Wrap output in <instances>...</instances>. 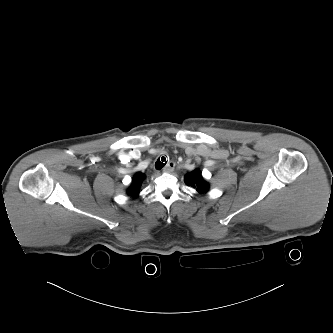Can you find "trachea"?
Wrapping results in <instances>:
<instances>
[{"mask_svg": "<svg viewBox=\"0 0 333 333\" xmlns=\"http://www.w3.org/2000/svg\"><path fill=\"white\" fill-rule=\"evenodd\" d=\"M164 162H165V163H164ZM166 163H167V162H166V157L162 156L161 159L159 158V159L157 160V162L155 163V168H156L157 170H160V169H162V168L165 166Z\"/></svg>", "mask_w": 333, "mask_h": 333, "instance_id": "1", "label": "trachea"}]
</instances>
